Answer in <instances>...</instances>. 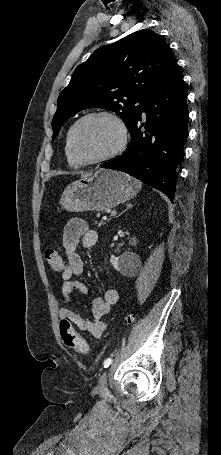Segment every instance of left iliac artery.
Segmentation results:
<instances>
[{
	"label": "left iliac artery",
	"mask_w": 221,
	"mask_h": 455,
	"mask_svg": "<svg viewBox=\"0 0 221 455\" xmlns=\"http://www.w3.org/2000/svg\"><path fill=\"white\" fill-rule=\"evenodd\" d=\"M113 362V359L112 358H107L105 361H104V368H108Z\"/></svg>",
	"instance_id": "1"
}]
</instances>
